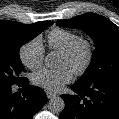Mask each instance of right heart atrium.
Listing matches in <instances>:
<instances>
[{"label": "right heart atrium", "instance_id": "1", "mask_svg": "<svg viewBox=\"0 0 119 119\" xmlns=\"http://www.w3.org/2000/svg\"><path fill=\"white\" fill-rule=\"evenodd\" d=\"M45 49L39 37L26 41L19 49L21 63L30 70L40 68L44 62Z\"/></svg>", "mask_w": 119, "mask_h": 119}]
</instances>
